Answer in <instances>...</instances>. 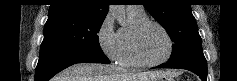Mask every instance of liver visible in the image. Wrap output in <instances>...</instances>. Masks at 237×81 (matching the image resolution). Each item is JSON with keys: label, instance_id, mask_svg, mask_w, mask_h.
<instances>
[{"label": "liver", "instance_id": "liver-1", "mask_svg": "<svg viewBox=\"0 0 237 81\" xmlns=\"http://www.w3.org/2000/svg\"><path fill=\"white\" fill-rule=\"evenodd\" d=\"M163 71L125 72L113 65L77 63L59 73L54 81H151Z\"/></svg>", "mask_w": 237, "mask_h": 81}]
</instances>
